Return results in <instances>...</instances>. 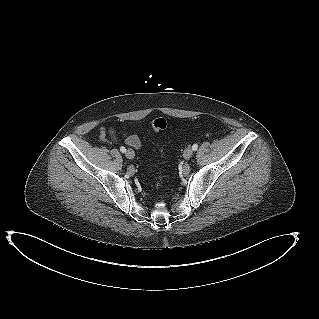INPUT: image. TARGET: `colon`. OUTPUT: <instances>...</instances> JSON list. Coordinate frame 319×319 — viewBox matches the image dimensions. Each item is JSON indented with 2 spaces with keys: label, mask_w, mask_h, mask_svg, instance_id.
<instances>
[{
  "label": "colon",
  "mask_w": 319,
  "mask_h": 319,
  "mask_svg": "<svg viewBox=\"0 0 319 319\" xmlns=\"http://www.w3.org/2000/svg\"><path fill=\"white\" fill-rule=\"evenodd\" d=\"M167 126V122L164 118L159 117L151 121L150 127L153 131L158 132L164 130Z\"/></svg>",
  "instance_id": "colon-1"
}]
</instances>
